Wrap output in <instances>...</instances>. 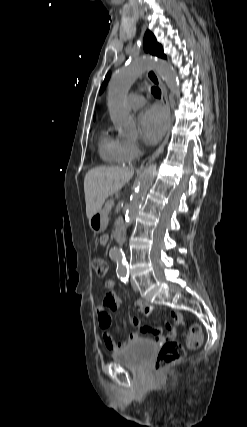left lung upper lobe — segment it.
Listing matches in <instances>:
<instances>
[{
	"mask_svg": "<svg viewBox=\"0 0 247 427\" xmlns=\"http://www.w3.org/2000/svg\"><path fill=\"white\" fill-rule=\"evenodd\" d=\"M144 49L146 52H149L152 55H156L158 57L166 58V56L163 53L162 46L157 43L155 36L150 32L147 31L144 36ZM110 74H107L105 77V80L101 86L100 92L103 91L105 88L108 80H109Z\"/></svg>",
	"mask_w": 247,
	"mask_h": 427,
	"instance_id": "1",
	"label": "left lung upper lobe"
}]
</instances>
